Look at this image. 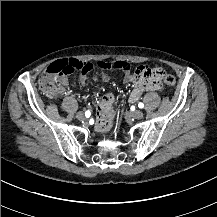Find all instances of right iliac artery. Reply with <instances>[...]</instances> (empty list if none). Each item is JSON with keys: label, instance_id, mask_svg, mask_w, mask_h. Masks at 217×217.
I'll list each match as a JSON object with an SVG mask.
<instances>
[{"label": "right iliac artery", "instance_id": "82829eb1", "mask_svg": "<svg viewBox=\"0 0 217 217\" xmlns=\"http://www.w3.org/2000/svg\"><path fill=\"white\" fill-rule=\"evenodd\" d=\"M85 116L86 117H91L92 116V111L91 110H86L85 111Z\"/></svg>", "mask_w": 217, "mask_h": 217}]
</instances>
